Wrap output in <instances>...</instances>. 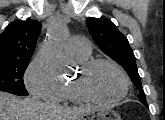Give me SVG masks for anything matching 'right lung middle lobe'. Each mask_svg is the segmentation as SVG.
Listing matches in <instances>:
<instances>
[{"label": "right lung middle lobe", "instance_id": "right-lung-middle-lobe-1", "mask_svg": "<svg viewBox=\"0 0 165 120\" xmlns=\"http://www.w3.org/2000/svg\"><path fill=\"white\" fill-rule=\"evenodd\" d=\"M30 59H0V91L27 96L23 75Z\"/></svg>", "mask_w": 165, "mask_h": 120}]
</instances>
